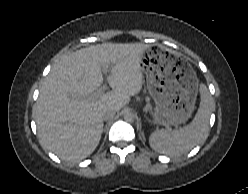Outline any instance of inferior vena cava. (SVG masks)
I'll return each instance as SVG.
<instances>
[{"label": "inferior vena cava", "mask_w": 248, "mask_h": 194, "mask_svg": "<svg viewBox=\"0 0 248 194\" xmlns=\"http://www.w3.org/2000/svg\"><path fill=\"white\" fill-rule=\"evenodd\" d=\"M116 110L110 109L107 110L104 114V120H110L115 116Z\"/></svg>", "instance_id": "obj_1"}]
</instances>
